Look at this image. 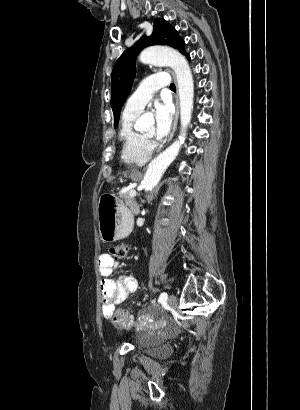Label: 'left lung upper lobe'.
<instances>
[{"label": "left lung upper lobe", "mask_w": 300, "mask_h": 410, "mask_svg": "<svg viewBox=\"0 0 300 410\" xmlns=\"http://www.w3.org/2000/svg\"><path fill=\"white\" fill-rule=\"evenodd\" d=\"M151 45H169L188 55L185 52L184 40L178 35L177 31L166 20L162 18L155 19L151 36L142 37L133 47L124 51L114 65L111 75V107L115 126L118 124L119 113L131 90L135 77L136 56L140 50Z\"/></svg>", "instance_id": "obj_1"}]
</instances>
